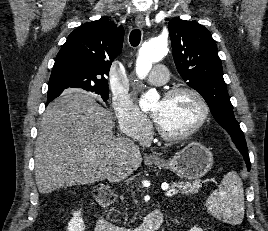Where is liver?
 I'll return each mask as SVG.
<instances>
[{"instance_id": "1", "label": "liver", "mask_w": 268, "mask_h": 231, "mask_svg": "<svg viewBox=\"0 0 268 231\" xmlns=\"http://www.w3.org/2000/svg\"><path fill=\"white\" fill-rule=\"evenodd\" d=\"M111 113L81 90L50 103L35 145V179L41 194L58 188L127 178L142 163L139 147L115 138Z\"/></svg>"}]
</instances>
